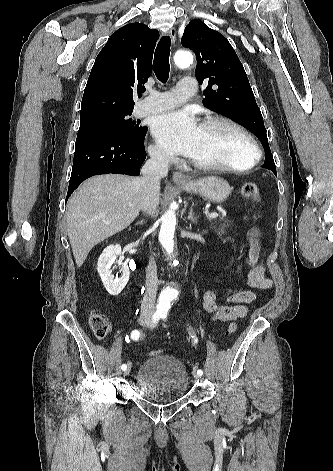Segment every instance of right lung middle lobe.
<instances>
[{
  "instance_id": "obj_1",
  "label": "right lung middle lobe",
  "mask_w": 333,
  "mask_h": 471,
  "mask_svg": "<svg viewBox=\"0 0 333 471\" xmlns=\"http://www.w3.org/2000/svg\"><path fill=\"white\" fill-rule=\"evenodd\" d=\"M130 111L112 112L101 114L94 117L80 119V128L78 132L93 130H110L115 131L132 138L142 137L147 127L139 126L129 116Z\"/></svg>"
}]
</instances>
